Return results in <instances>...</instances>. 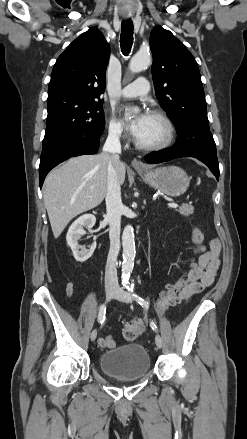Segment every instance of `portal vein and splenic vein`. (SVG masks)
Listing matches in <instances>:
<instances>
[{"label":"portal vein and splenic vein","instance_id":"1","mask_svg":"<svg viewBox=\"0 0 247 439\" xmlns=\"http://www.w3.org/2000/svg\"><path fill=\"white\" fill-rule=\"evenodd\" d=\"M93 188H94V187H91V189H93ZM168 206L171 207V208H177V207H178V204L175 203V202H170V203H168Z\"/></svg>","mask_w":247,"mask_h":439}]
</instances>
